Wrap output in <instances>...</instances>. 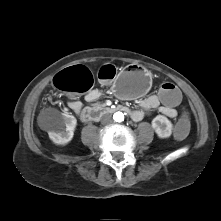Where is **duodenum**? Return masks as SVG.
<instances>
[{
    "label": "duodenum",
    "instance_id": "obj_1",
    "mask_svg": "<svg viewBox=\"0 0 221 221\" xmlns=\"http://www.w3.org/2000/svg\"><path fill=\"white\" fill-rule=\"evenodd\" d=\"M117 111L129 112V109L125 106H109V107H93L86 108L81 114V119L85 122L98 121L105 114H111Z\"/></svg>",
    "mask_w": 221,
    "mask_h": 221
}]
</instances>
